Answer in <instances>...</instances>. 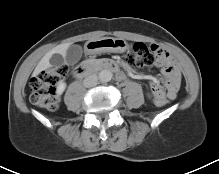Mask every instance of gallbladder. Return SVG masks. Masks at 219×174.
Returning <instances> with one entry per match:
<instances>
[{
  "instance_id": "obj_1",
  "label": "gallbladder",
  "mask_w": 219,
  "mask_h": 174,
  "mask_svg": "<svg viewBox=\"0 0 219 174\" xmlns=\"http://www.w3.org/2000/svg\"><path fill=\"white\" fill-rule=\"evenodd\" d=\"M83 50L80 45H72L67 49L66 61L69 65L76 64L82 57Z\"/></svg>"
}]
</instances>
